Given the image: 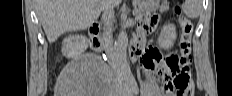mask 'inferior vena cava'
Here are the masks:
<instances>
[{
  "instance_id": "inferior-vena-cava-1",
  "label": "inferior vena cava",
  "mask_w": 232,
  "mask_h": 96,
  "mask_svg": "<svg viewBox=\"0 0 232 96\" xmlns=\"http://www.w3.org/2000/svg\"><path fill=\"white\" fill-rule=\"evenodd\" d=\"M104 6L103 21L105 23V29L103 33V40L105 43V50L109 58L114 57V46H113V34H112V23L111 19L114 16L113 5L110 1Z\"/></svg>"
}]
</instances>
